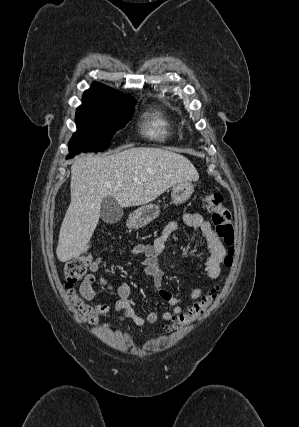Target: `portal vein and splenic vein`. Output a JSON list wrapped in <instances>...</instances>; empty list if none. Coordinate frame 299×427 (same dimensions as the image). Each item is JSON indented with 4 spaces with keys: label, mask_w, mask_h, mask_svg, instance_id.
<instances>
[{
    "label": "portal vein and splenic vein",
    "mask_w": 299,
    "mask_h": 427,
    "mask_svg": "<svg viewBox=\"0 0 299 427\" xmlns=\"http://www.w3.org/2000/svg\"><path fill=\"white\" fill-rule=\"evenodd\" d=\"M135 181L138 180L137 178L134 179ZM107 186H110V184H107Z\"/></svg>",
    "instance_id": "1"
}]
</instances>
